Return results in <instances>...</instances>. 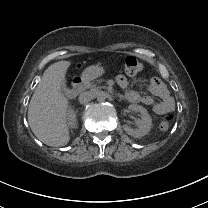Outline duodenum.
Wrapping results in <instances>:
<instances>
[{
    "instance_id": "duodenum-1",
    "label": "duodenum",
    "mask_w": 208,
    "mask_h": 208,
    "mask_svg": "<svg viewBox=\"0 0 208 208\" xmlns=\"http://www.w3.org/2000/svg\"><path fill=\"white\" fill-rule=\"evenodd\" d=\"M84 86H85V79L82 77H76L73 80V84L70 89V94L72 96L78 95L83 90Z\"/></svg>"
}]
</instances>
